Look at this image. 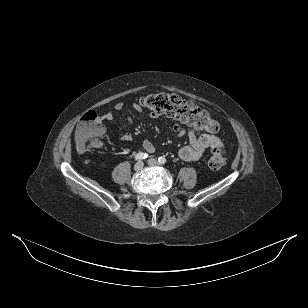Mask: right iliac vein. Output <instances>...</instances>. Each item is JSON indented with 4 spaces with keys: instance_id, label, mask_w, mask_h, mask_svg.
<instances>
[{
    "instance_id": "63e3f726",
    "label": "right iliac vein",
    "mask_w": 308,
    "mask_h": 308,
    "mask_svg": "<svg viewBox=\"0 0 308 308\" xmlns=\"http://www.w3.org/2000/svg\"><path fill=\"white\" fill-rule=\"evenodd\" d=\"M144 167V164L143 162H137L135 165H134V170L135 171H141Z\"/></svg>"
}]
</instances>
